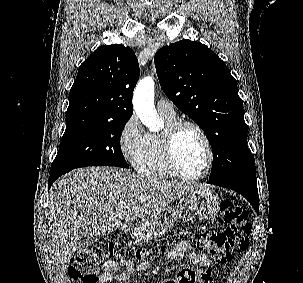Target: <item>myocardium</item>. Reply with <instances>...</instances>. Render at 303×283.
<instances>
[{
	"instance_id": "1",
	"label": "myocardium",
	"mask_w": 303,
	"mask_h": 283,
	"mask_svg": "<svg viewBox=\"0 0 303 283\" xmlns=\"http://www.w3.org/2000/svg\"><path fill=\"white\" fill-rule=\"evenodd\" d=\"M184 128H191L197 134L201 137L206 151H207V163L204 171L197 176H189L184 174L177 162L176 158V141L177 138ZM161 141L163 146V152L165 161L169 167V169L172 171V173L177 176L180 179L186 180V181H199L205 178L209 172L212 169L213 162H214V153H213V147L212 144L207 136V134L204 132V130L196 123L192 121L187 120H177L174 121L166 126L164 131L161 134Z\"/></svg>"
}]
</instances>
